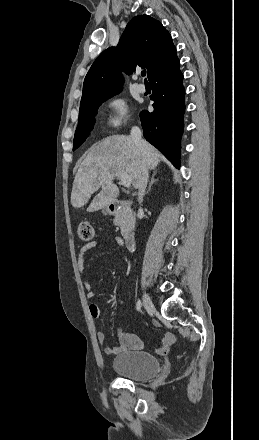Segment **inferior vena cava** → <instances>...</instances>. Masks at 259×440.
I'll return each mask as SVG.
<instances>
[{"label":"inferior vena cava","mask_w":259,"mask_h":440,"mask_svg":"<svg viewBox=\"0 0 259 440\" xmlns=\"http://www.w3.org/2000/svg\"><path fill=\"white\" fill-rule=\"evenodd\" d=\"M130 137L132 139V141L135 143V145L137 146V148L139 150H143V142H142V133L141 130L139 129V127L134 126L131 129V133H130ZM148 178H149V173H148V168L143 165L142 169H141V174L139 177V182H138V201L139 203L142 202L144 194H145V189L147 186V182H148Z\"/></svg>","instance_id":"602c4592"}]
</instances>
